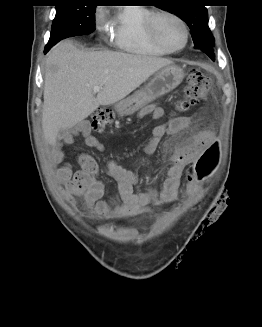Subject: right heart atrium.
Masks as SVG:
<instances>
[{"label":"right heart atrium","mask_w":262,"mask_h":327,"mask_svg":"<svg viewBox=\"0 0 262 327\" xmlns=\"http://www.w3.org/2000/svg\"><path fill=\"white\" fill-rule=\"evenodd\" d=\"M96 24L98 26H101V24H102V17L100 15H97V17H96Z\"/></svg>","instance_id":"d8ad5b80"}]
</instances>
